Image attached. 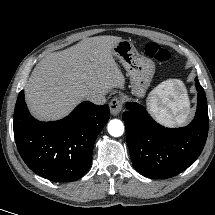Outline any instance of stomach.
<instances>
[{
	"label": "stomach",
	"mask_w": 215,
	"mask_h": 215,
	"mask_svg": "<svg viewBox=\"0 0 215 215\" xmlns=\"http://www.w3.org/2000/svg\"><path fill=\"white\" fill-rule=\"evenodd\" d=\"M112 53L128 73L131 94L143 97L155 73L153 61L140 55L133 43L124 39L114 46Z\"/></svg>",
	"instance_id": "1"
}]
</instances>
